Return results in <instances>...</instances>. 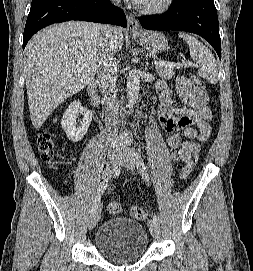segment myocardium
<instances>
[{
  "mask_svg": "<svg viewBox=\"0 0 253 271\" xmlns=\"http://www.w3.org/2000/svg\"><path fill=\"white\" fill-rule=\"evenodd\" d=\"M173 2L174 0H160L153 4L139 5L138 9L143 14L158 15L169 10Z\"/></svg>",
  "mask_w": 253,
  "mask_h": 271,
  "instance_id": "f54148a6",
  "label": "myocardium"
}]
</instances>
